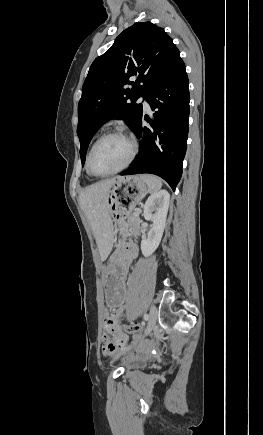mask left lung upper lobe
Returning a JSON list of instances; mask_svg holds the SVG:
<instances>
[{"instance_id": "obj_1", "label": "left lung upper lobe", "mask_w": 263, "mask_h": 435, "mask_svg": "<svg viewBox=\"0 0 263 435\" xmlns=\"http://www.w3.org/2000/svg\"><path fill=\"white\" fill-rule=\"evenodd\" d=\"M180 59L179 50L163 28L138 22L124 30L110 49L94 60L78 105L82 164L90 140L109 119H124L134 131L143 112L142 104L135 102L146 98ZM126 84L132 88H126Z\"/></svg>"}]
</instances>
